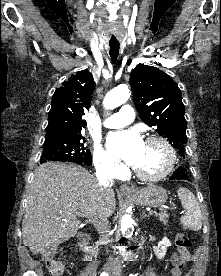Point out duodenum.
<instances>
[{
    "label": "duodenum",
    "instance_id": "410a0bca",
    "mask_svg": "<svg viewBox=\"0 0 221 276\" xmlns=\"http://www.w3.org/2000/svg\"><path fill=\"white\" fill-rule=\"evenodd\" d=\"M81 247L83 250H85L86 252L89 253H93L96 254L98 252V249H96L95 247H93L90 243L89 240L87 238H85L82 242H81Z\"/></svg>",
    "mask_w": 221,
    "mask_h": 276
}]
</instances>
